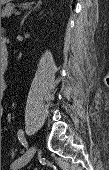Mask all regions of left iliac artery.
Wrapping results in <instances>:
<instances>
[{
    "mask_svg": "<svg viewBox=\"0 0 109 170\" xmlns=\"http://www.w3.org/2000/svg\"><path fill=\"white\" fill-rule=\"evenodd\" d=\"M18 139L20 140L23 146L27 147V142L24 136V131L21 129L18 131Z\"/></svg>",
    "mask_w": 109,
    "mask_h": 170,
    "instance_id": "44dca946",
    "label": "left iliac artery"
}]
</instances>
